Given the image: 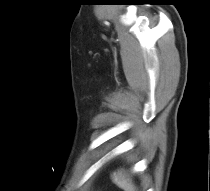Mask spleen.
Returning <instances> with one entry per match:
<instances>
[{
  "label": "spleen",
  "mask_w": 210,
  "mask_h": 191,
  "mask_svg": "<svg viewBox=\"0 0 210 191\" xmlns=\"http://www.w3.org/2000/svg\"><path fill=\"white\" fill-rule=\"evenodd\" d=\"M113 182L124 191H135L136 188L130 179H127L122 175V172L114 173L112 176Z\"/></svg>",
  "instance_id": "spleen-1"
}]
</instances>
